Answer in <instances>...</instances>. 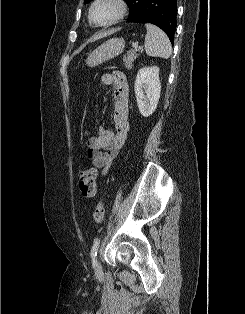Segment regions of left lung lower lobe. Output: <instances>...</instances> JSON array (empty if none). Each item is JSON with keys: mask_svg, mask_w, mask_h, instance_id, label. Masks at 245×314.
<instances>
[{"mask_svg": "<svg viewBox=\"0 0 245 314\" xmlns=\"http://www.w3.org/2000/svg\"><path fill=\"white\" fill-rule=\"evenodd\" d=\"M177 0H143L141 9L128 22H148L161 28L173 43L176 31Z\"/></svg>", "mask_w": 245, "mask_h": 314, "instance_id": "1", "label": "left lung lower lobe"}]
</instances>
